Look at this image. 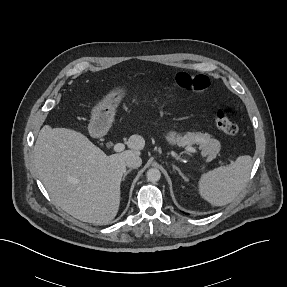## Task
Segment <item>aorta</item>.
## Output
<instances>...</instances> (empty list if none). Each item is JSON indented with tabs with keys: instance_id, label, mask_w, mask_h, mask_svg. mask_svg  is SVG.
Segmentation results:
<instances>
[{
	"instance_id": "762f6f07",
	"label": "aorta",
	"mask_w": 287,
	"mask_h": 287,
	"mask_svg": "<svg viewBox=\"0 0 287 287\" xmlns=\"http://www.w3.org/2000/svg\"><path fill=\"white\" fill-rule=\"evenodd\" d=\"M161 178V172L157 168H150L147 171V179L150 182H157Z\"/></svg>"
}]
</instances>
